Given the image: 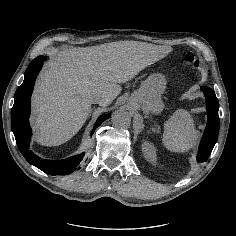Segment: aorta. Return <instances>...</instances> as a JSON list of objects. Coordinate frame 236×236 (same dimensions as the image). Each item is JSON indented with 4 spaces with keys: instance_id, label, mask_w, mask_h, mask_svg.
Listing matches in <instances>:
<instances>
[{
    "instance_id": "obj_1",
    "label": "aorta",
    "mask_w": 236,
    "mask_h": 236,
    "mask_svg": "<svg viewBox=\"0 0 236 236\" xmlns=\"http://www.w3.org/2000/svg\"><path fill=\"white\" fill-rule=\"evenodd\" d=\"M112 123L116 128H129L131 125L130 114L122 109H118L112 114Z\"/></svg>"
}]
</instances>
